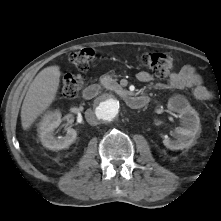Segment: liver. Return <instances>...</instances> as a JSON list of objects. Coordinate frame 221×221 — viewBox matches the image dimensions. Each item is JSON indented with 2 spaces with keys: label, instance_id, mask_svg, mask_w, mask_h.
Instances as JSON below:
<instances>
[{
  "label": "liver",
  "instance_id": "1",
  "mask_svg": "<svg viewBox=\"0 0 221 221\" xmlns=\"http://www.w3.org/2000/svg\"><path fill=\"white\" fill-rule=\"evenodd\" d=\"M59 66H49L41 70L34 78L23 100L21 124L24 130L30 128L54 101L60 83Z\"/></svg>",
  "mask_w": 221,
  "mask_h": 221
}]
</instances>
